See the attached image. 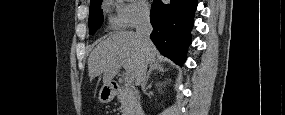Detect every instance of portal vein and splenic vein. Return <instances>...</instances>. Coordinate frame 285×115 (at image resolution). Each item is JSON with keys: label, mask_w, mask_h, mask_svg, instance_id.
<instances>
[{"label": "portal vein and splenic vein", "mask_w": 285, "mask_h": 115, "mask_svg": "<svg viewBox=\"0 0 285 115\" xmlns=\"http://www.w3.org/2000/svg\"><path fill=\"white\" fill-rule=\"evenodd\" d=\"M122 67H123V68L125 69V71H126V72H125V78H124L125 83H130L131 81L134 80V76H133V74L131 73V71L128 70L126 64H122Z\"/></svg>", "instance_id": "1"}]
</instances>
